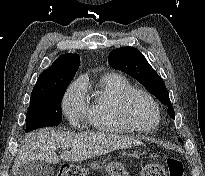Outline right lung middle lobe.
Instances as JSON below:
<instances>
[{
    "mask_svg": "<svg viewBox=\"0 0 205 176\" xmlns=\"http://www.w3.org/2000/svg\"><path fill=\"white\" fill-rule=\"evenodd\" d=\"M67 87L68 85H65L46 94L31 96L26 115V132L56 126L61 122V101Z\"/></svg>",
    "mask_w": 205,
    "mask_h": 176,
    "instance_id": "right-lung-middle-lobe-1",
    "label": "right lung middle lobe"
}]
</instances>
